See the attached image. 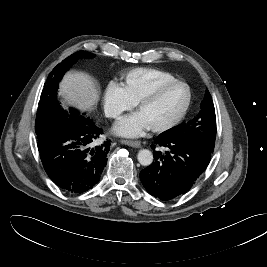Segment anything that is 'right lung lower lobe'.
I'll use <instances>...</instances> for the list:
<instances>
[{
  "instance_id": "98d812e1",
  "label": "right lung lower lobe",
  "mask_w": 267,
  "mask_h": 267,
  "mask_svg": "<svg viewBox=\"0 0 267 267\" xmlns=\"http://www.w3.org/2000/svg\"><path fill=\"white\" fill-rule=\"evenodd\" d=\"M101 132L88 118L65 117L37 136L44 169L65 192L83 193L98 183L110 150V141L99 142Z\"/></svg>"
}]
</instances>
